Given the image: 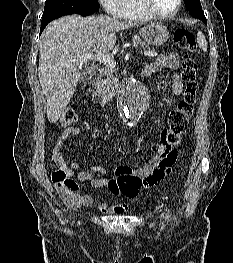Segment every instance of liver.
<instances>
[{
	"label": "liver",
	"mask_w": 233,
	"mask_h": 263,
	"mask_svg": "<svg viewBox=\"0 0 233 263\" xmlns=\"http://www.w3.org/2000/svg\"><path fill=\"white\" fill-rule=\"evenodd\" d=\"M135 26L132 21L102 15H69L46 27L40 41L38 77L50 123L58 121L80 78L78 65L66 63L87 53L108 54L116 43L115 33Z\"/></svg>",
	"instance_id": "liver-1"
}]
</instances>
